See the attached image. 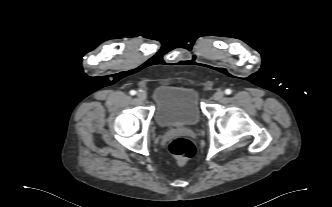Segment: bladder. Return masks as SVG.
Segmentation results:
<instances>
[{"label": "bladder", "mask_w": 332, "mask_h": 207, "mask_svg": "<svg viewBox=\"0 0 332 207\" xmlns=\"http://www.w3.org/2000/svg\"><path fill=\"white\" fill-rule=\"evenodd\" d=\"M153 102L154 120L163 128L195 125L202 117L199 93L193 88L159 86Z\"/></svg>", "instance_id": "31cf9c89"}]
</instances>
